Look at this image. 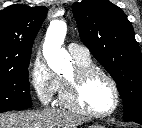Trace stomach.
Returning a JSON list of instances; mask_svg holds the SVG:
<instances>
[{
  "mask_svg": "<svg viewBox=\"0 0 142 128\" xmlns=\"http://www.w3.org/2000/svg\"><path fill=\"white\" fill-rule=\"evenodd\" d=\"M89 128H105V127L102 125L94 124V125H91Z\"/></svg>",
  "mask_w": 142,
  "mask_h": 128,
  "instance_id": "1",
  "label": "stomach"
}]
</instances>
